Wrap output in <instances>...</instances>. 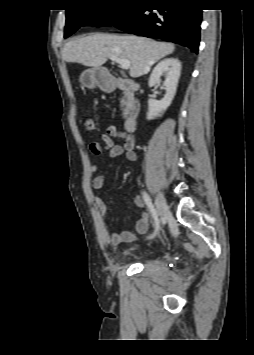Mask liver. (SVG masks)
I'll return each instance as SVG.
<instances>
[{"label":"liver","instance_id":"liver-1","mask_svg":"<svg viewBox=\"0 0 254 355\" xmlns=\"http://www.w3.org/2000/svg\"><path fill=\"white\" fill-rule=\"evenodd\" d=\"M174 49L171 43L157 42L145 37L95 33L66 43L62 58L66 62L93 68H101L112 56L128 59L130 76L137 78L148 73L154 63L171 54Z\"/></svg>","mask_w":254,"mask_h":355}]
</instances>
